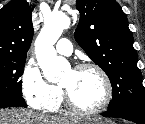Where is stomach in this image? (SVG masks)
Instances as JSON below:
<instances>
[{
  "instance_id": "stomach-1",
  "label": "stomach",
  "mask_w": 145,
  "mask_h": 124,
  "mask_svg": "<svg viewBox=\"0 0 145 124\" xmlns=\"http://www.w3.org/2000/svg\"><path fill=\"white\" fill-rule=\"evenodd\" d=\"M78 124H114V123L100 118H82L79 120Z\"/></svg>"
}]
</instances>
